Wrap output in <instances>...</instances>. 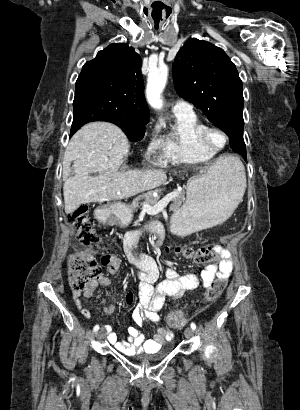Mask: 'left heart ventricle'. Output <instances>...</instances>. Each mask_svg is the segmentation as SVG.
<instances>
[{
    "label": "left heart ventricle",
    "instance_id": "b2bd125f",
    "mask_svg": "<svg viewBox=\"0 0 300 410\" xmlns=\"http://www.w3.org/2000/svg\"><path fill=\"white\" fill-rule=\"evenodd\" d=\"M209 140H210L211 144L215 147L222 146L224 144V141H225L223 135L220 134L217 131H212L209 134Z\"/></svg>",
    "mask_w": 300,
    "mask_h": 410
}]
</instances>
